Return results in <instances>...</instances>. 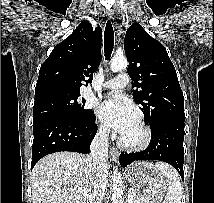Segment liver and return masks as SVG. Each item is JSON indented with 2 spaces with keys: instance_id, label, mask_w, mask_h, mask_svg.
Listing matches in <instances>:
<instances>
[{
  "instance_id": "1",
  "label": "liver",
  "mask_w": 214,
  "mask_h": 203,
  "mask_svg": "<svg viewBox=\"0 0 214 203\" xmlns=\"http://www.w3.org/2000/svg\"><path fill=\"white\" fill-rule=\"evenodd\" d=\"M33 203H89L86 156L57 152L42 158L32 171Z\"/></svg>"
}]
</instances>
